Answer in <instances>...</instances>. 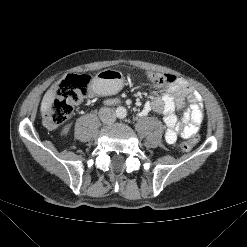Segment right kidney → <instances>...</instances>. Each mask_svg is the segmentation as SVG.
Segmentation results:
<instances>
[{
    "instance_id": "1",
    "label": "right kidney",
    "mask_w": 247,
    "mask_h": 247,
    "mask_svg": "<svg viewBox=\"0 0 247 247\" xmlns=\"http://www.w3.org/2000/svg\"><path fill=\"white\" fill-rule=\"evenodd\" d=\"M68 130H69L68 128H65L64 131H63V133L64 134H67L68 133Z\"/></svg>"
}]
</instances>
